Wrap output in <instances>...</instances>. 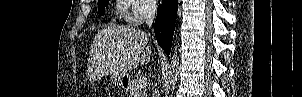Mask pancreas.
Masks as SVG:
<instances>
[{
    "mask_svg": "<svg viewBox=\"0 0 302 97\" xmlns=\"http://www.w3.org/2000/svg\"><path fill=\"white\" fill-rule=\"evenodd\" d=\"M137 80H132V83L129 87L130 97H146V91L137 86Z\"/></svg>",
    "mask_w": 302,
    "mask_h": 97,
    "instance_id": "1",
    "label": "pancreas"
}]
</instances>
